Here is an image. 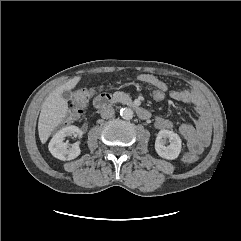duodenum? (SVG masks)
<instances>
[{"mask_svg":"<svg viewBox=\"0 0 241 241\" xmlns=\"http://www.w3.org/2000/svg\"><path fill=\"white\" fill-rule=\"evenodd\" d=\"M116 101H123L127 106L133 108L141 119H148L149 113L140 105L126 98L115 97L109 93H102L95 97L94 106L97 109H105Z\"/></svg>","mask_w":241,"mask_h":241,"instance_id":"1","label":"duodenum"}]
</instances>
